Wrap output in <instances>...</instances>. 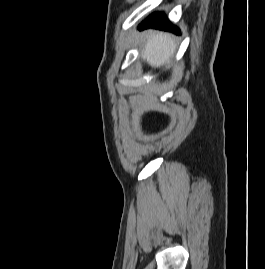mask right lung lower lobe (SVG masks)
<instances>
[{
  "label": "right lung lower lobe",
  "instance_id": "obj_1",
  "mask_svg": "<svg viewBox=\"0 0 265 269\" xmlns=\"http://www.w3.org/2000/svg\"><path fill=\"white\" fill-rule=\"evenodd\" d=\"M148 27L179 33V29L169 22L164 13L151 14L146 20H144L140 24L139 29H144Z\"/></svg>",
  "mask_w": 265,
  "mask_h": 269
}]
</instances>
